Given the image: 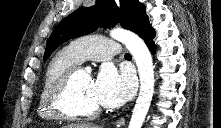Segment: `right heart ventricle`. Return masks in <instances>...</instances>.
<instances>
[{"instance_id":"e07e8e85","label":"right heart ventricle","mask_w":221,"mask_h":128,"mask_svg":"<svg viewBox=\"0 0 221 128\" xmlns=\"http://www.w3.org/2000/svg\"><path fill=\"white\" fill-rule=\"evenodd\" d=\"M82 62L78 53L70 45L59 50L51 58L45 70L37 104V112L42 118H55V115H53L46 106V95L51 87L61 79L69 69L78 66Z\"/></svg>"}]
</instances>
